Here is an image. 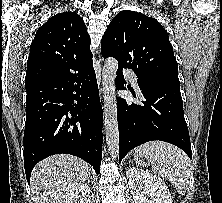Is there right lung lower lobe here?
I'll use <instances>...</instances> for the list:
<instances>
[{
    "label": "right lung lower lobe",
    "instance_id": "obj_1",
    "mask_svg": "<svg viewBox=\"0 0 222 203\" xmlns=\"http://www.w3.org/2000/svg\"><path fill=\"white\" fill-rule=\"evenodd\" d=\"M24 167L27 181L42 159L75 155L100 172L103 113L93 66L26 86Z\"/></svg>",
    "mask_w": 222,
    "mask_h": 203
}]
</instances>
